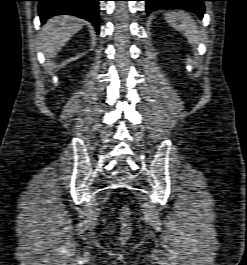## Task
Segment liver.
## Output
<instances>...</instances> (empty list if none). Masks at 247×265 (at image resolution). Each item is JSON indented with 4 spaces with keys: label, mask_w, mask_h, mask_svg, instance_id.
I'll list each match as a JSON object with an SVG mask.
<instances>
[{
    "label": "liver",
    "mask_w": 247,
    "mask_h": 265,
    "mask_svg": "<svg viewBox=\"0 0 247 265\" xmlns=\"http://www.w3.org/2000/svg\"><path fill=\"white\" fill-rule=\"evenodd\" d=\"M84 21L70 15H58L47 20L41 32V45L48 57L56 56L82 28Z\"/></svg>",
    "instance_id": "1"
}]
</instances>
